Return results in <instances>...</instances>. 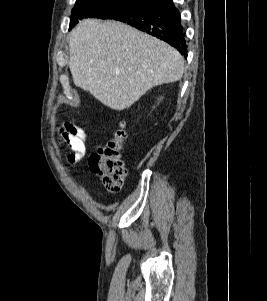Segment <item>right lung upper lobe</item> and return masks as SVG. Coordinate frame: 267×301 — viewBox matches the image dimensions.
Listing matches in <instances>:
<instances>
[{"mask_svg":"<svg viewBox=\"0 0 267 301\" xmlns=\"http://www.w3.org/2000/svg\"><path fill=\"white\" fill-rule=\"evenodd\" d=\"M147 1L148 4H152V3H155V2H159L161 0H145Z\"/></svg>","mask_w":267,"mask_h":301,"instance_id":"1","label":"right lung upper lobe"}]
</instances>
